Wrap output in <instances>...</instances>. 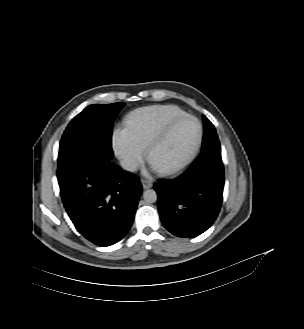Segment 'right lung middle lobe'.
I'll list each match as a JSON object with an SVG mask.
<instances>
[{"mask_svg":"<svg viewBox=\"0 0 304 329\" xmlns=\"http://www.w3.org/2000/svg\"><path fill=\"white\" fill-rule=\"evenodd\" d=\"M124 105H90L72 119L60 142L59 168L86 160L109 163L113 157L112 125Z\"/></svg>","mask_w":304,"mask_h":329,"instance_id":"right-lung-middle-lobe-1","label":"right lung middle lobe"}]
</instances>
